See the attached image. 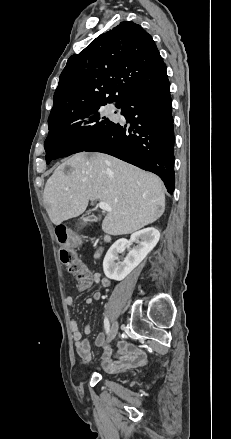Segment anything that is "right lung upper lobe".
<instances>
[{"mask_svg": "<svg viewBox=\"0 0 231 439\" xmlns=\"http://www.w3.org/2000/svg\"><path fill=\"white\" fill-rule=\"evenodd\" d=\"M167 79L151 35L123 21L68 59L48 121L113 101L121 108L135 94Z\"/></svg>", "mask_w": 231, "mask_h": 439, "instance_id": "1", "label": "right lung upper lobe"}]
</instances>
